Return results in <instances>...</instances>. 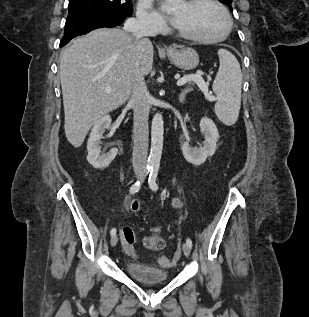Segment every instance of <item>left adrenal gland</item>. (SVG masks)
Masks as SVG:
<instances>
[{"label":"left adrenal gland","instance_id":"a2214340","mask_svg":"<svg viewBox=\"0 0 309 317\" xmlns=\"http://www.w3.org/2000/svg\"><path fill=\"white\" fill-rule=\"evenodd\" d=\"M190 91H192L191 88H185V89L182 90V92H181L180 95H179V100H180L181 103L184 102L185 97H186V94H187L188 92H190Z\"/></svg>","mask_w":309,"mask_h":317}]
</instances>
